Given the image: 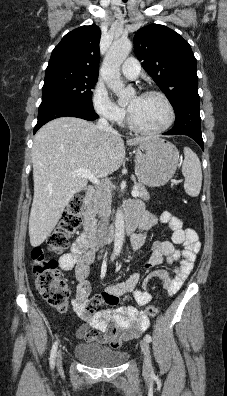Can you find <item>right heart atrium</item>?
<instances>
[{"instance_id":"d8ad5b80","label":"right heart atrium","mask_w":227,"mask_h":396,"mask_svg":"<svg viewBox=\"0 0 227 396\" xmlns=\"http://www.w3.org/2000/svg\"><path fill=\"white\" fill-rule=\"evenodd\" d=\"M92 103L95 112L111 123H119L125 117V110L118 106L101 85H95L92 91Z\"/></svg>"}]
</instances>
